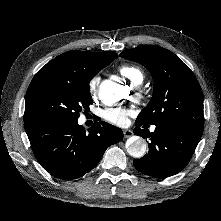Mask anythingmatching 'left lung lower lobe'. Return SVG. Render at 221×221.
Segmentation results:
<instances>
[{"mask_svg": "<svg viewBox=\"0 0 221 221\" xmlns=\"http://www.w3.org/2000/svg\"><path fill=\"white\" fill-rule=\"evenodd\" d=\"M134 134L149 138V151L140 159L134 160V167L153 177H168L180 172L189 162L202 132L174 125H156L149 133L136 123Z\"/></svg>", "mask_w": 221, "mask_h": 221, "instance_id": "1", "label": "left lung lower lobe"}]
</instances>
